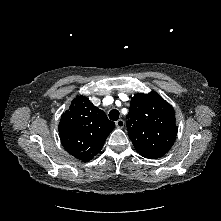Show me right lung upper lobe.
<instances>
[{
  "label": "right lung upper lobe",
  "mask_w": 221,
  "mask_h": 221,
  "mask_svg": "<svg viewBox=\"0 0 221 221\" xmlns=\"http://www.w3.org/2000/svg\"><path fill=\"white\" fill-rule=\"evenodd\" d=\"M114 127L115 123L108 120L104 111L81 95L62 114L58 129L66 151L87 162L99 153Z\"/></svg>",
  "instance_id": "obj_1"
}]
</instances>
